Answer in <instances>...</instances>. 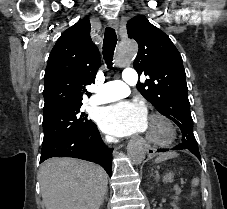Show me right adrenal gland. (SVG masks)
Listing matches in <instances>:
<instances>
[{"instance_id": "2a0ac1e0", "label": "right adrenal gland", "mask_w": 227, "mask_h": 209, "mask_svg": "<svg viewBox=\"0 0 227 209\" xmlns=\"http://www.w3.org/2000/svg\"><path fill=\"white\" fill-rule=\"evenodd\" d=\"M104 199H105V201H107V199H108V197H107V193H106V195H105Z\"/></svg>"}]
</instances>
